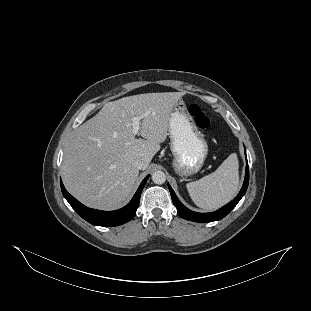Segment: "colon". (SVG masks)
Wrapping results in <instances>:
<instances>
[{"mask_svg":"<svg viewBox=\"0 0 311 311\" xmlns=\"http://www.w3.org/2000/svg\"><path fill=\"white\" fill-rule=\"evenodd\" d=\"M189 115L193 118L198 128L206 130L210 127V119L198 104L192 103L188 107Z\"/></svg>","mask_w":311,"mask_h":311,"instance_id":"colon-1","label":"colon"}]
</instances>
